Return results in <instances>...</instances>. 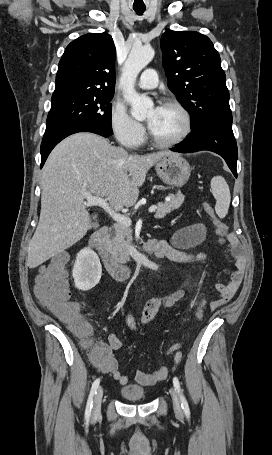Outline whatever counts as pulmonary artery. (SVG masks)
Returning a JSON list of instances; mask_svg holds the SVG:
<instances>
[{"label": "pulmonary artery", "instance_id": "pulmonary-artery-1", "mask_svg": "<svg viewBox=\"0 0 272 455\" xmlns=\"http://www.w3.org/2000/svg\"><path fill=\"white\" fill-rule=\"evenodd\" d=\"M158 84L157 72L152 69H146L140 76L138 81V87L142 89H153Z\"/></svg>", "mask_w": 272, "mask_h": 455}]
</instances>
